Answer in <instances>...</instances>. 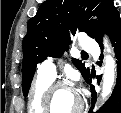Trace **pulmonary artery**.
I'll return each instance as SVG.
<instances>
[{"instance_id": "pulmonary-artery-1", "label": "pulmonary artery", "mask_w": 121, "mask_h": 113, "mask_svg": "<svg viewBox=\"0 0 121 113\" xmlns=\"http://www.w3.org/2000/svg\"><path fill=\"white\" fill-rule=\"evenodd\" d=\"M82 49L91 52L98 50L95 41L90 37L83 38ZM38 71L41 75L54 79L56 77V63L50 59L46 60L40 64Z\"/></svg>"}]
</instances>
